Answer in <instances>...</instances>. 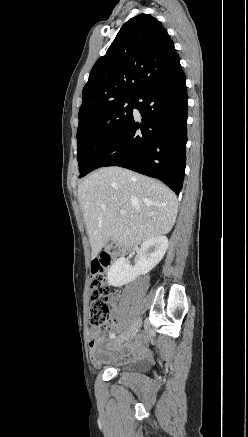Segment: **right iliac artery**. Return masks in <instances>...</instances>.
<instances>
[{
	"instance_id": "82829eb1",
	"label": "right iliac artery",
	"mask_w": 248,
	"mask_h": 437,
	"mask_svg": "<svg viewBox=\"0 0 248 437\" xmlns=\"http://www.w3.org/2000/svg\"><path fill=\"white\" fill-rule=\"evenodd\" d=\"M110 338H115V333L110 334Z\"/></svg>"
}]
</instances>
